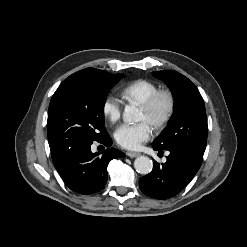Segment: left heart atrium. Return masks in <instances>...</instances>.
I'll return each mask as SVG.
<instances>
[{"instance_id":"left-heart-atrium-1","label":"left heart atrium","mask_w":247,"mask_h":247,"mask_svg":"<svg viewBox=\"0 0 247 247\" xmlns=\"http://www.w3.org/2000/svg\"><path fill=\"white\" fill-rule=\"evenodd\" d=\"M152 135L151 125L142 120L138 123H126L115 131L117 143L126 149H137L142 143L150 139Z\"/></svg>"}]
</instances>
